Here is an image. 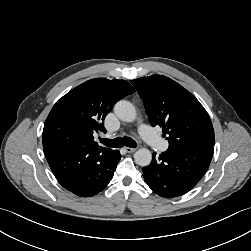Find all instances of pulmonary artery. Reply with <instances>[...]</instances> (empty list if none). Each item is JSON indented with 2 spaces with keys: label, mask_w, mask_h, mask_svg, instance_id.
I'll use <instances>...</instances> for the list:
<instances>
[{
  "label": "pulmonary artery",
  "mask_w": 251,
  "mask_h": 251,
  "mask_svg": "<svg viewBox=\"0 0 251 251\" xmlns=\"http://www.w3.org/2000/svg\"><path fill=\"white\" fill-rule=\"evenodd\" d=\"M139 133L142 138L155 150L164 152L168 148V143L160 138L149 126L145 124L139 125Z\"/></svg>",
  "instance_id": "obj_1"
}]
</instances>
